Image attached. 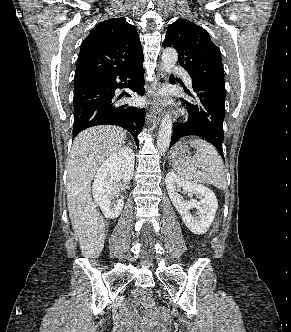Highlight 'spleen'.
<instances>
[{"mask_svg": "<svg viewBox=\"0 0 291 332\" xmlns=\"http://www.w3.org/2000/svg\"><path fill=\"white\" fill-rule=\"evenodd\" d=\"M190 145L196 148V154L186 161L173 162L177 174L189 182L209 183L225 189L224 165L218 151L202 139H195Z\"/></svg>", "mask_w": 291, "mask_h": 332, "instance_id": "obj_1", "label": "spleen"}]
</instances>
